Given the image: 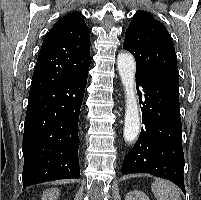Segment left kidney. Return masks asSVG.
<instances>
[{"label": "left kidney", "instance_id": "obj_1", "mask_svg": "<svg viewBox=\"0 0 201 200\" xmlns=\"http://www.w3.org/2000/svg\"><path fill=\"white\" fill-rule=\"evenodd\" d=\"M125 200H150L142 191L134 190L127 193Z\"/></svg>", "mask_w": 201, "mask_h": 200}]
</instances>
